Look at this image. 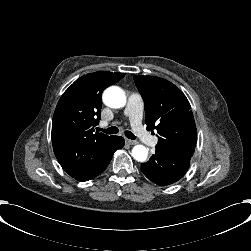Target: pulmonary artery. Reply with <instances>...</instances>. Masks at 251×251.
Segmentation results:
<instances>
[{"instance_id": "obj_1", "label": "pulmonary artery", "mask_w": 251, "mask_h": 251, "mask_svg": "<svg viewBox=\"0 0 251 251\" xmlns=\"http://www.w3.org/2000/svg\"><path fill=\"white\" fill-rule=\"evenodd\" d=\"M143 113L144 104L142 99L136 94H131L125 103L124 115L129 118L130 125L135 133L140 136L142 144L155 145L158 139L153 134L146 132L142 125ZM99 124L100 126H106L108 123L101 120Z\"/></svg>"}]
</instances>
